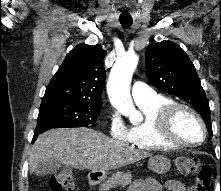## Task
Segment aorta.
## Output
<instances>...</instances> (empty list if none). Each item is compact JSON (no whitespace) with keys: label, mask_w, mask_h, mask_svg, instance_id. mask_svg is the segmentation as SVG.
Segmentation results:
<instances>
[{"label":"aorta","mask_w":221,"mask_h":191,"mask_svg":"<svg viewBox=\"0 0 221 191\" xmlns=\"http://www.w3.org/2000/svg\"><path fill=\"white\" fill-rule=\"evenodd\" d=\"M138 61V55L133 52L117 58L107 82V93L111 104L121 114L131 119L138 116L130 95V83Z\"/></svg>","instance_id":"aorta-1"}]
</instances>
